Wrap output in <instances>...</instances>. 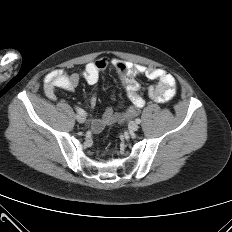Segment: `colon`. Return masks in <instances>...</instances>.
<instances>
[{
	"label": "colon",
	"mask_w": 232,
	"mask_h": 232,
	"mask_svg": "<svg viewBox=\"0 0 232 232\" xmlns=\"http://www.w3.org/2000/svg\"><path fill=\"white\" fill-rule=\"evenodd\" d=\"M138 97L139 99H142L139 95ZM135 102L136 101L134 100L126 111H122L121 114L118 115L116 124L118 128H123L125 125L124 121H128L129 117H132L135 114V111L131 108Z\"/></svg>",
	"instance_id": "5ec220e1"
}]
</instances>
